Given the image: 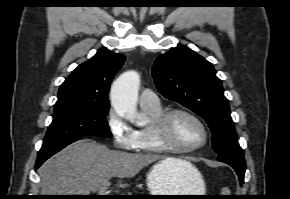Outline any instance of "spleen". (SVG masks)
Returning a JSON list of instances; mask_svg holds the SVG:
<instances>
[{
	"label": "spleen",
	"instance_id": "obj_1",
	"mask_svg": "<svg viewBox=\"0 0 290 199\" xmlns=\"http://www.w3.org/2000/svg\"><path fill=\"white\" fill-rule=\"evenodd\" d=\"M222 194L223 195H230V190L228 188L222 189Z\"/></svg>",
	"mask_w": 290,
	"mask_h": 199
}]
</instances>
